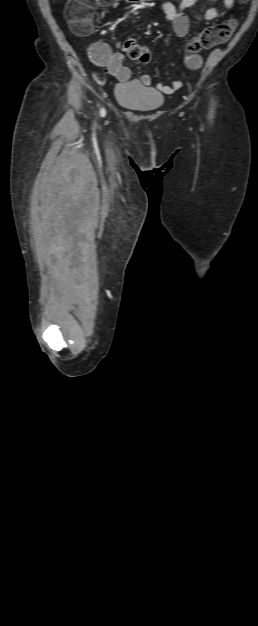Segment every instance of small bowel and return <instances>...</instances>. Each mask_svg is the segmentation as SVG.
I'll return each mask as SVG.
<instances>
[{
  "instance_id": "c3829d8e",
  "label": "small bowel",
  "mask_w": 258,
  "mask_h": 626,
  "mask_svg": "<svg viewBox=\"0 0 258 626\" xmlns=\"http://www.w3.org/2000/svg\"><path fill=\"white\" fill-rule=\"evenodd\" d=\"M235 0H222L225 8H231ZM199 0H181L178 7H176L171 0H166L163 3V11L167 19L171 22L172 28L177 36L185 37L189 31V18L185 13V10L195 6ZM222 15V12L216 8H208L202 13V17L205 20L212 21L218 19ZM99 62L105 68V71L114 76L120 82H126L130 78V70L123 65L124 55L117 50H111L106 44L98 45ZM185 64L188 68L196 70L200 68L202 64V58L199 55H186ZM144 85H151V78L149 75L144 74L141 78ZM182 86L181 81L175 80L171 85L157 84L156 88L165 94H171L179 90Z\"/></svg>"
}]
</instances>
